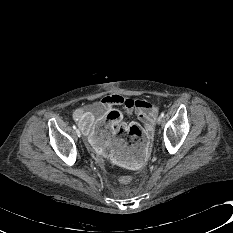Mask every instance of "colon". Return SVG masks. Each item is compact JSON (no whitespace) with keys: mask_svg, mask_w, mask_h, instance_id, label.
Wrapping results in <instances>:
<instances>
[{"mask_svg":"<svg viewBox=\"0 0 233 233\" xmlns=\"http://www.w3.org/2000/svg\"><path fill=\"white\" fill-rule=\"evenodd\" d=\"M118 133L123 135L128 141L133 142L137 136H142V130L137 124H131L127 127H121L118 129ZM120 181L122 183H128L130 178L127 176L121 177Z\"/></svg>","mask_w":233,"mask_h":233,"instance_id":"obj_1","label":"colon"}]
</instances>
